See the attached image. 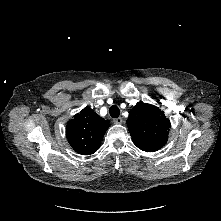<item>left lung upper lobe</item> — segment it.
<instances>
[{
  "label": "left lung upper lobe",
  "instance_id": "1",
  "mask_svg": "<svg viewBox=\"0 0 221 221\" xmlns=\"http://www.w3.org/2000/svg\"><path fill=\"white\" fill-rule=\"evenodd\" d=\"M128 129L134 144L146 152L162 148L168 140L170 121L158 107L139 102L129 112Z\"/></svg>",
  "mask_w": 221,
  "mask_h": 221
}]
</instances>
